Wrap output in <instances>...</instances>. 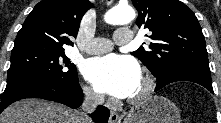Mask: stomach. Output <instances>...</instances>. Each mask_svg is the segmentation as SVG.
<instances>
[{
	"mask_svg": "<svg viewBox=\"0 0 221 123\" xmlns=\"http://www.w3.org/2000/svg\"><path fill=\"white\" fill-rule=\"evenodd\" d=\"M123 123H181L178 108L165 97L150 96L131 109Z\"/></svg>",
	"mask_w": 221,
	"mask_h": 123,
	"instance_id": "stomach-1",
	"label": "stomach"
}]
</instances>
